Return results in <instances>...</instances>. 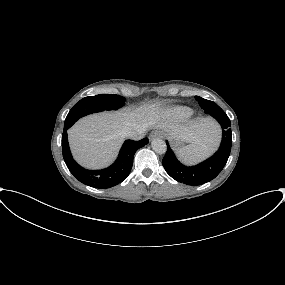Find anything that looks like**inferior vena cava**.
<instances>
[{"mask_svg":"<svg viewBox=\"0 0 285 285\" xmlns=\"http://www.w3.org/2000/svg\"><path fill=\"white\" fill-rule=\"evenodd\" d=\"M145 128L143 126H136L134 128H128L125 130L124 135L131 140H140L144 137Z\"/></svg>","mask_w":285,"mask_h":285,"instance_id":"inferior-vena-cava-1","label":"inferior vena cava"}]
</instances>
